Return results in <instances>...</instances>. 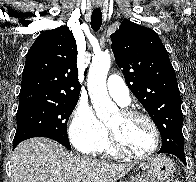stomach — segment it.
<instances>
[{"mask_svg":"<svg viewBox=\"0 0 196 182\" xmlns=\"http://www.w3.org/2000/svg\"><path fill=\"white\" fill-rule=\"evenodd\" d=\"M145 177L138 175L130 182H162L174 172V163L163 155H156L142 165Z\"/></svg>","mask_w":196,"mask_h":182,"instance_id":"stomach-1","label":"stomach"}]
</instances>
